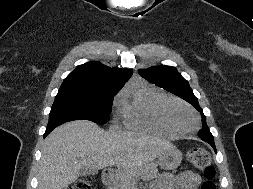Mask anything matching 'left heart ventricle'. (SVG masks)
Wrapping results in <instances>:
<instances>
[{"label": "left heart ventricle", "instance_id": "left-heart-ventricle-1", "mask_svg": "<svg viewBox=\"0 0 253 189\" xmlns=\"http://www.w3.org/2000/svg\"><path fill=\"white\" fill-rule=\"evenodd\" d=\"M171 118L180 128H191L194 126V119L190 112L182 107H173L170 111Z\"/></svg>", "mask_w": 253, "mask_h": 189}]
</instances>
